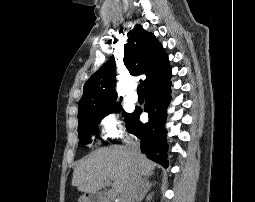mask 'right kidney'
I'll list each match as a JSON object with an SVG mask.
<instances>
[{"label":"right kidney","instance_id":"1","mask_svg":"<svg viewBox=\"0 0 255 202\" xmlns=\"http://www.w3.org/2000/svg\"><path fill=\"white\" fill-rule=\"evenodd\" d=\"M151 197H152V196L150 195V196H148V198H147V199H148V200H150V199H151Z\"/></svg>","mask_w":255,"mask_h":202}]
</instances>
